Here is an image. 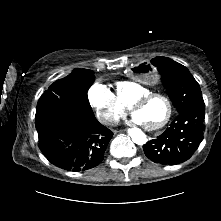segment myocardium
<instances>
[{"label":"myocardium","instance_id":"f54148a6","mask_svg":"<svg viewBox=\"0 0 221 221\" xmlns=\"http://www.w3.org/2000/svg\"><path fill=\"white\" fill-rule=\"evenodd\" d=\"M156 97H159V98H162L163 100H165V102L168 105V111H167L165 118L160 123L153 125V126H149V125L144 124V127L149 131H155V130L162 129L171 120V118L173 116V112H174V106H173L171 99L165 94H162L159 92H150V93H147V94H144V95L138 97L129 106L130 112L132 114H135V111L137 108L144 106L149 100H151L152 98H156Z\"/></svg>","mask_w":221,"mask_h":221}]
</instances>
